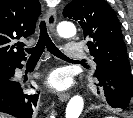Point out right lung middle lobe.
I'll use <instances>...</instances> for the list:
<instances>
[{"label":"right lung middle lobe","mask_w":133,"mask_h":118,"mask_svg":"<svg viewBox=\"0 0 133 118\" xmlns=\"http://www.w3.org/2000/svg\"><path fill=\"white\" fill-rule=\"evenodd\" d=\"M11 67L1 66L0 67V80L7 79L10 75Z\"/></svg>","instance_id":"right-lung-middle-lobe-1"}]
</instances>
